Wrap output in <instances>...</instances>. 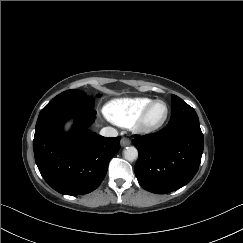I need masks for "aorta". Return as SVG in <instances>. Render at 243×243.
I'll return each mask as SVG.
<instances>
[{"mask_svg": "<svg viewBox=\"0 0 243 243\" xmlns=\"http://www.w3.org/2000/svg\"><path fill=\"white\" fill-rule=\"evenodd\" d=\"M123 153H124V158L128 161H134L138 157V151L134 146L126 147Z\"/></svg>", "mask_w": 243, "mask_h": 243, "instance_id": "aorta-1", "label": "aorta"}]
</instances>
